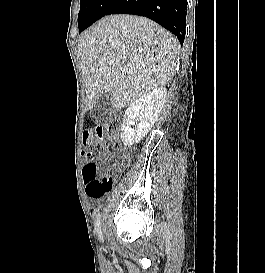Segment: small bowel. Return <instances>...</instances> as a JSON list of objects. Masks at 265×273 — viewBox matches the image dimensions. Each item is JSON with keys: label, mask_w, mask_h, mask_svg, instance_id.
<instances>
[{"label": "small bowel", "mask_w": 265, "mask_h": 273, "mask_svg": "<svg viewBox=\"0 0 265 273\" xmlns=\"http://www.w3.org/2000/svg\"><path fill=\"white\" fill-rule=\"evenodd\" d=\"M83 128H84V129H91V128H92V125H91V124H84V125H83ZM89 197L92 198V199H94V200H96V201L101 200V198L94 197V196H92V195H89Z\"/></svg>", "instance_id": "small-bowel-1"}]
</instances>
